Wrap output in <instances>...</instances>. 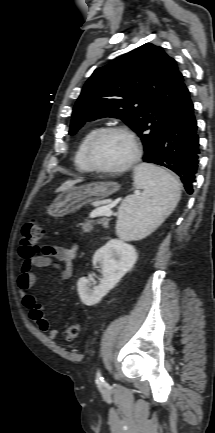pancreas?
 <instances>
[{
    "instance_id": "obj_1",
    "label": "pancreas",
    "mask_w": 215,
    "mask_h": 433,
    "mask_svg": "<svg viewBox=\"0 0 215 433\" xmlns=\"http://www.w3.org/2000/svg\"><path fill=\"white\" fill-rule=\"evenodd\" d=\"M102 224L103 227H106V222L103 219H99L96 222L95 221H91V220H86L84 223L80 224V228L82 230L83 233H88L93 229V226L95 224Z\"/></svg>"
}]
</instances>
